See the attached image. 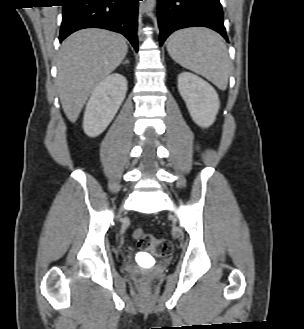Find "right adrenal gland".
I'll list each match as a JSON object with an SVG mask.
<instances>
[{"label":"right adrenal gland","instance_id":"right-adrenal-gland-1","mask_svg":"<svg viewBox=\"0 0 304 329\" xmlns=\"http://www.w3.org/2000/svg\"><path fill=\"white\" fill-rule=\"evenodd\" d=\"M123 64H129V61H128V60H125V61L123 62Z\"/></svg>","mask_w":304,"mask_h":329}]
</instances>
